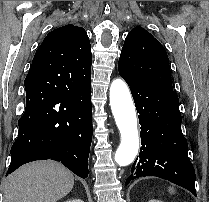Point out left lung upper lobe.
Instances as JSON below:
<instances>
[{"label": "left lung upper lobe", "instance_id": "left-lung-upper-lobe-1", "mask_svg": "<svg viewBox=\"0 0 209 202\" xmlns=\"http://www.w3.org/2000/svg\"><path fill=\"white\" fill-rule=\"evenodd\" d=\"M118 70L120 74L173 90L169 59L165 49L157 39L140 26L132 29L125 39Z\"/></svg>", "mask_w": 209, "mask_h": 202}]
</instances>
